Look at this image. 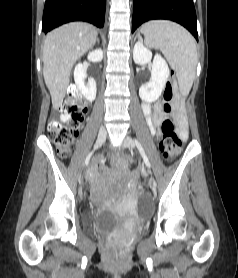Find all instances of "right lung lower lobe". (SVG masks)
Listing matches in <instances>:
<instances>
[{"label": "right lung lower lobe", "instance_id": "98d812e1", "mask_svg": "<svg viewBox=\"0 0 238 278\" xmlns=\"http://www.w3.org/2000/svg\"><path fill=\"white\" fill-rule=\"evenodd\" d=\"M106 0H46L42 30L72 21H85L101 28L104 25Z\"/></svg>", "mask_w": 238, "mask_h": 278}]
</instances>
